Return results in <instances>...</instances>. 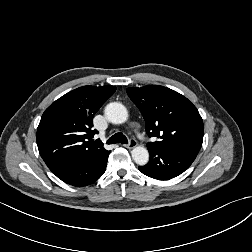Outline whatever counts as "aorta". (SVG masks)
I'll return each instance as SVG.
<instances>
[{
    "instance_id": "obj_1",
    "label": "aorta",
    "mask_w": 252,
    "mask_h": 252,
    "mask_svg": "<svg viewBox=\"0 0 252 252\" xmlns=\"http://www.w3.org/2000/svg\"><path fill=\"white\" fill-rule=\"evenodd\" d=\"M108 121L114 124H122L127 121L128 112L126 107L118 102L109 103L104 110ZM132 158L138 165H145L149 160L148 150L143 146L135 147L132 152Z\"/></svg>"
}]
</instances>
